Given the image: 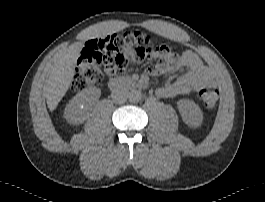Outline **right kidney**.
Masks as SVG:
<instances>
[{
    "label": "right kidney",
    "mask_w": 265,
    "mask_h": 202,
    "mask_svg": "<svg viewBox=\"0 0 265 202\" xmlns=\"http://www.w3.org/2000/svg\"><path fill=\"white\" fill-rule=\"evenodd\" d=\"M101 96V90L96 87L84 89L74 96L64 110V117L74 125L82 124L86 120L88 110Z\"/></svg>",
    "instance_id": "right-kidney-1"
}]
</instances>
